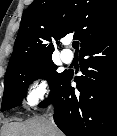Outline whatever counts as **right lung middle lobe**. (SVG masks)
<instances>
[{
  "instance_id": "right-lung-middle-lobe-1",
  "label": "right lung middle lobe",
  "mask_w": 117,
  "mask_h": 136,
  "mask_svg": "<svg viewBox=\"0 0 117 136\" xmlns=\"http://www.w3.org/2000/svg\"><path fill=\"white\" fill-rule=\"evenodd\" d=\"M56 69L52 57L27 58L8 65L1 111L20 105L28 85L35 79H46L53 90L66 74V71L58 73Z\"/></svg>"
}]
</instances>
